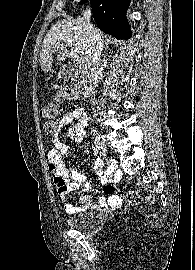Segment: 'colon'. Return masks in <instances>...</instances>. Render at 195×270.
<instances>
[{"label": "colon", "instance_id": "1", "mask_svg": "<svg viewBox=\"0 0 195 270\" xmlns=\"http://www.w3.org/2000/svg\"><path fill=\"white\" fill-rule=\"evenodd\" d=\"M81 87L82 82L79 78L64 77L59 83L56 100L45 102L40 107V115L46 119L43 125L46 134L56 133V119L59 115L57 101L75 97L81 91ZM125 200L128 204L136 205L141 202V196L137 191L132 190L126 193ZM147 201L151 202L152 199L148 197Z\"/></svg>", "mask_w": 195, "mask_h": 270}]
</instances>
